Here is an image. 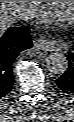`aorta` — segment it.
<instances>
[{
	"mask_svg": "<svg viewBox=\"0 0 74 122\" xmlns=\"http://www.w3.org/2000/svg\"><path fill=\"white\" fill-rule=\"evenodd\" d=\"M46 68L56 75L65 73L68 69L67 57L59 52L49 54L46 58Z\"/></svg>",
	"mask_w": 74,
	"mask_h": 122,
	"instance_id": "aorta-1",
	"label": "aorta"
}]
</instances>
